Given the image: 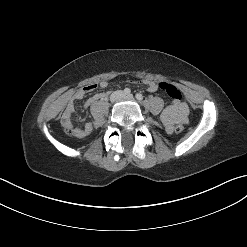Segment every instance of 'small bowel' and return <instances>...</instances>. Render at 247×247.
<instances>
[{
  "label": "small bowel",
  "mask_w": 247,
  "mask_h": 247,
  "mask_svg": "<svg viewBox=\"0 0 247 247\" xmlns=\"http://www.w3.org/2000/svg\"><path fill=\"white\" fill-rule=\"evenodd\" d=\"M144 84L149 92H156L159 87L158 84L152 80H142L140 81ZM106 88L108 83L106 81H101L99 84H89L85 87L78 89L71 96L61 118V122L64 127L71 125V116L74 111V104L77 101L83 99L86 93L95 90L97 87ZM105 93H96L91 98H89L84 104V109H87L91 104L96 102L99 99L105 97ZM189 108L188 105L181 101L171 102L162 112L161 120L167 129V131L172 132L173 126L176 123L185 124L188 121ZM91 132V126L88 124L83 130L75 129L73 135L78 138H83Z\"/></svg>",
  "instance_id": "1"
}]
</instances>
